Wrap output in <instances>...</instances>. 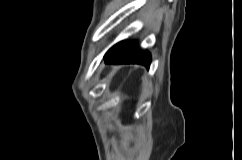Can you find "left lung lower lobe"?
<instances>
[{
	"instance_id": "0a47b994",
	"label": "left lung lower lobe",
	"mask_w": 242,
	"mask_h": 160,
	"mask_svg": "<svg viewBox=\"0 0 242 160\" xmlns=\"http://www.w3.org/2000/svg\"><path fill=\"white\" fill-rule=\"evenodd\" d=\"M107 64L137 63L149 68L151 56L141 51L134 42L121 41L114 45L104 56Z\"/></svg>"
}]
</instances>
